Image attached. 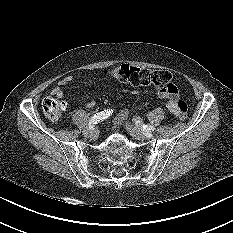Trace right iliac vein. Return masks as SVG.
Masks as SVG:
<instances>
[{
	"label": "right iliac vein",
	"mask_w": 233,
	"mask_h": 233,
	"mask_svg": "<svg viewBox=\"0 0 233 233\" xmlns=\"http://www.w3.org/2000/svg\"><path fill=\"white\" fill-rule=\"evenodd\" d=\"M82 132L85 137H94L97 134V130L93 127L85 128Z\"/></svg>",
	"instance_id": "right-iliac-vein-1"
}]
</instances>
